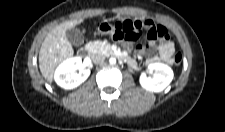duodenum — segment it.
Returning a JSON list of instances; mask_svg holds the SVG:
<instances>
[{
  "label": "duodenum",
  "mask_w": 225,
  "mask_h": 132,
  "mask_svg": "<svg viewBox=\"0 0 225 132\" xmlns=\"http://www.w3.org/2000/svg\"><path fill=\"white\" fill-rule=\"evenodd\" d=\"M82 53H83L84 56H86V55H87V50L84 49V50L82 51Z\"/></svg>",
  "instance_id": "duodenum-1"
}]
</instances>
